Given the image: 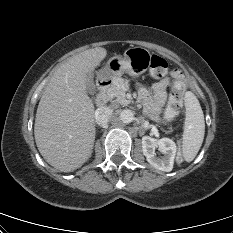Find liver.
Here are the masks:
<instances>
[{
  "mask_svg": "<svg viewBox=\"0 0 233 233\" xmlns=\"http://www.w3.org/2000/svg\"><path fill=\"white\" fill-rule=\"evenodd\" d=\"M106 55L105 48L97 47L71 57L55 71L40 99L35 142L46 162L61 172L74 171L91 157L95 111L86 87Z\"/></svg>",
  "mask_w": 233,
  "mask_h": 233,
  "instance_id": "6515ba94",
  "label": "liver"
}]
</instances>
